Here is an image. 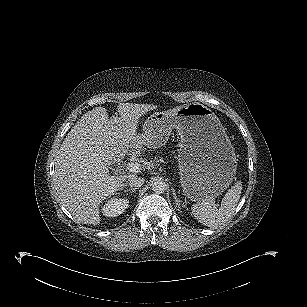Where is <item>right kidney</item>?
I'll use <instances>...</instances> for the list:
<instances>
[{"label":"right kidney","instance_id":"ca27d5eb","mask_svg":"<svg viewBox=\"0 0 307 307\" xmlns=\"http://www.w3.org/2000/svg\"><path fill=\"white\" fill-rule=\"evenodd\" d=\"M129 207V201L125 198H111L104 206L102 213L106 217H116L122 214Z\"/></svg>","mask_w":307,"mask_h":307}]
</instances>
